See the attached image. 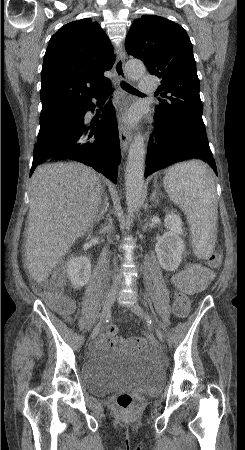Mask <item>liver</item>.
Masks as SVG:
<instances>
[{
    "label": "liver",
    "instance_id": "obj_1",
    "mask_svg": "<svg viewBox=\"0 0 245 450\" xmlns=\"http://www.w3.org/2000/svg\"><path fill=\"white\" fill-rule=\"evenodd\" d=\"M102 191L95 172L81 163H50L35 170L25 259L29 274L38 283L93 227Z\"/></svg>",
    "mask_w": 245,
    "mask_h": 450
}]
</instances>
